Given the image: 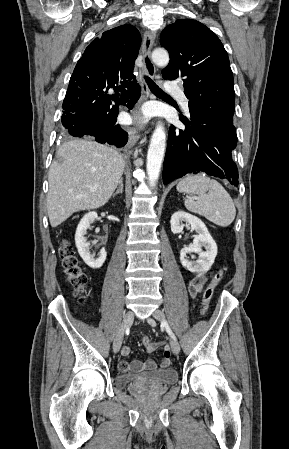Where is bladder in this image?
I'll use <instances>...</instances> for the list:
<instances>
[{
    "label": "bladder",
    "instance_id": "bladder-1",
    "mask_svg": "<svg viewBox=\"0 0 289 449\" xmlns=\"http://www.w3.org/2000/svg\"><path fill=\"white\" fill-rule=\"evenodd\" d=\"M178 374L174 368L154 369L144 373H121L114 378L117 388L130 386H167L177 381Z\"/></svg>",
    "mask_w": 289,
    "mask_h": 449
}]
</instances>
